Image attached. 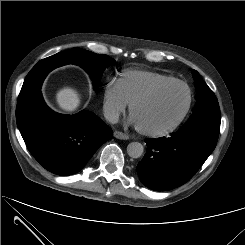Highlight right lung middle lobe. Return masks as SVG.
<instances>
[{"instance_id":"right-lung-middle-lobe-1","label":"right lung middle lobe","mask_w":245,"mask_h":245,"mask_svg":"<svg viewBox=\"0 0 245 245\" xmlns=\"http://www.w3.org/2000/svg\"><path fill=\"white\" fill-rule=\"evenodd\" d=\"M50 57L58 67L70 63L82 67L87 73L91 75V78L94 80L95 90L98 87L104 69L115 62L114 59L107 55L96 54L77 47L57 53ZM30 72L32 73V76L36 75V70L34 67ZM35 94L36 93H32L30 82L23 84L18 97V105L27 102Z\"/></svg>"}]
</instances>
